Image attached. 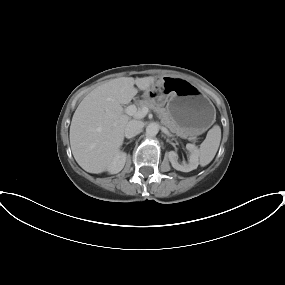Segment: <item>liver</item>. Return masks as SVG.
I'll use <instances>...</instances> for the list:
<instances>
[{
	"label": "liver",
	"instance_id": "liver-1",
	"mask_svg": "<svg viewBox=\"0 0 285 285\" xmlns=\"http://www.w3.org/2000/svg\"><path fill=\"white\" fill-rule=\"evenodd\" d=\"M155 77H120L92 90L78 105L70 125L72 154L85 171L104 172L124 141L129 117L122 105L128 104L140 90H147Z\"/></svg>",
	"mask_w": 285,
	"mask_h": 285
}]
</instances>
